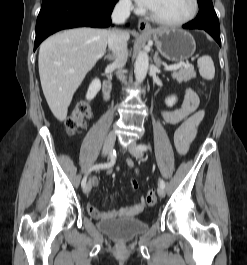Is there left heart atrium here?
<instances>
[{
  "label": "left heart atrium",
  "mask_w": 247,
  "mask_h": 265,
  "mask_svg": "<svg viewBox=\"0 0 247 265\" xmlns=\"http://www.w3.org/2000/svg\"><path fill=\"white\" fill-rule=\"evenodd\" d=\"M140 5L150 8L155 0H136Z\"/></svg>",
  "instance_id": "39dd6f15"
}]
</instances>
